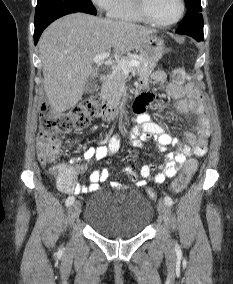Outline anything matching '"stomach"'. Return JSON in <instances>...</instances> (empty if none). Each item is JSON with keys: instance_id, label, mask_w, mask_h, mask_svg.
I'll list each match as a JSON object with an SVG mask.
<instances>
[{"instance_id": "1", "label": "stomach", "mask_w": 233, "mask_h": 284, "mask_svg": "<svg viewBox=\"0 0 233 284\" xmlns=\"http://www.w3.org/2000/svg\"><path fill=\"white\" fill-rule=\"evenodd\" d=\"M165 52V44L162 38L149 35L139 47L140 56L151 63L158 62Z\"/></svg>"}]
</instances>
